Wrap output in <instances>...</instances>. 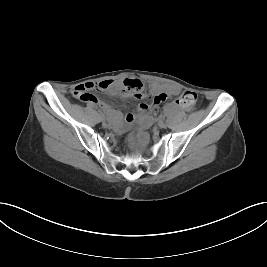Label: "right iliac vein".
<instances>
[{
	"instance_id": "1",
	"label": "right iliac vein",
	"mask_w": 267,
	"mask_h": 267,
	"mask_svg": "<svg viewBox=\"0 0 267 267\" xmlns=\"http://www.w3.org/2000/svg\"><path fill=\"white\" fill-rule=\"evenodd\" d=\"M101 120L105 121L106 120L105 116H101Z\"/></svg>"
}]
</instances>
